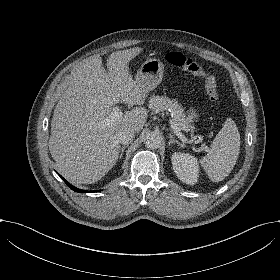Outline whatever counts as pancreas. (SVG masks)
Returning <instances> with one entry per match:
<instances>
[{
	"mask_svg": "<svg viewBox=\"0 0 280 280\" xmlns=\"http://www.w3.org/2000/svg\"><path fill=\"white\" fill-rule=\"evenodd\" d=\"M149 108L154 113L170 110L173 114L171 121L176 123L180 130L188 131L192 127L191 120L185 117L184 109L176 100H171L166 96L152 95L149 99Z\"/></svg>",
	"mask_w": 280,
	"mask_h": 280,
	"instance_id": "obj_1",
	"label": "pancreas"
}]
</instances>
